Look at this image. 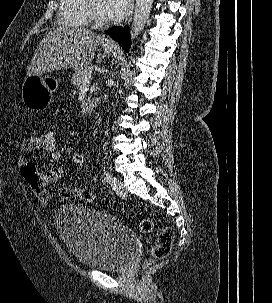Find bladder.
<instances>
[{
  "label": "bladder",
  "instance_id": "obj_1",
  "mask_svg": "<svg viewBox=\"0 0 272 303\" xmlns=\"http://www.w3.org/2000/svg\"><path fill=\"white\" fill-rule=\"evenodd\" d=\"M55 225L68 250L86 268L124 270L138 248V238L129 227L110 214L85 206H61Z\"/></svg>",
  "mask_w": 272,
  "mask_h": 303
}]
</instances>
